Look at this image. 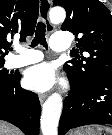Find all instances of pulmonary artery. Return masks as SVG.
Masks as SVG:
<instances>
[{
  "instance_id": "pulmonary-artery-1",
  "label": "pulmonary artery",
  "mask_w": 112,
  "mask_h": 135,
  "mask_svg": "<svg viewBox=\"0 0 112 135\" xmlns=\"http://www.w3.org/2000/svg\"><path fill=\"white\" fill-rule=\"evenodd\" d=\"M70 42L66 34L54 33L50 40V47L54 51H65L69 48ZM18 55L10 60L11 67H21L32 63L39 62L43 59L41 52L37 50L26 49L22 46H17Z\"/></svg>"
}]
</instances>
